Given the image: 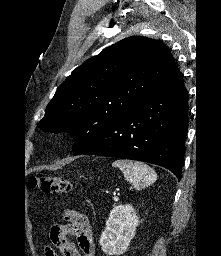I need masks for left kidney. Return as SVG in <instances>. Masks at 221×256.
<instances>
[{
    "label": "left kidney",
    "instance_id": "1",
    "mask_svg": "<svg viewBox=\"0 0 221 256\" xmlns=\"http://www.w3.org/2000/svg\"><path fill=\"white\" fill-rule=\"evenodd\" d=\"M139 218L134 208L127 205L114 206L100 237L102 251L107 255H121L136 234Z\"/></svg>",
    "mask_w": 221,
    "mask_h": 256
}]
</instances>
